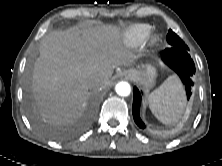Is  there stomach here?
<instances>
[{"mask_svg": "<svg viewBox=\"0 0 222 166\" xmlns=\"http://www.w3.org/2000/svg\"><path fill=\"white\" fill-rule=\"evenodd\" d=\"M127 72L133 74L135 80L140 81L148 88H151L154 84V79L156 77V69L152 65H145L143 71L131 69Z\"/></svg>", "mask_w": 222, "mask_h": 166, "instance_id": "obj_1", "label": "stomach"}]
</instances>
